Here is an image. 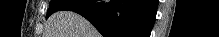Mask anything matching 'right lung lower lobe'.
<instances>
[{"label":"right lung lower lobe","mask_w":219,"mask_h":37,"mask_svg":"<svg viewBox=\"0 0 219 37\" xmlns=\"http://www.w3.org/2000/svg\"><path fill=\"white\" fill-rule=\"evenodd\" d=\"M157 6V0H75L60 10L82 15L104 37H149Z\"/></svg>","instance_id":"98d812e1"}]
</instances>
